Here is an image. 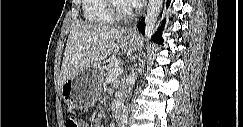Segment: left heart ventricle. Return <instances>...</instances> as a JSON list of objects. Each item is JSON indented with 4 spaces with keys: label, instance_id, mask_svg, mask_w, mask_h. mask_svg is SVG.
Masks as SVG:
<instances>
[{
    "label": "left heart ventricle",
    "instance_id": "1",
    "mask_svg": "<svg viewBox=\"0 0 243 127\" xmlns=\"http://www.w3.org/2000/svg\"><path fill=\"white\" fill-rule=\"evenodd\" d=\"M121 4H122L123 6H125V5H127V2H121Z\"/></svg>",
    "mask_w": 243,
    "mask_h": 127
}]
</instances>
